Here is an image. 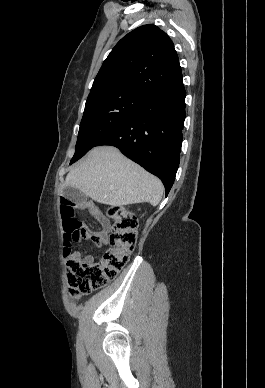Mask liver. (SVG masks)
Listing matches in <instances>:
<instances>
[{
  "mask_svg": "<svg viewBox=\"0 0 265 388\" xmlns=\"http://www.w3.org/2000/svg\"><path fill=\"white\" fill-rule=\"evenodd\" d=\"M64 186L78 188L95 202L108 206L140 202L157 206L164 190L159 178L145 172L113 146L93 148L85 162L67 174Z\"/></svg>",
  "mask_w": 265,
  "mask_h": 388,
  "instance_id": "6515ba94",
  "label": "liver"
}]
</instances>
